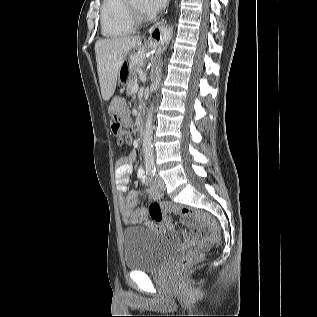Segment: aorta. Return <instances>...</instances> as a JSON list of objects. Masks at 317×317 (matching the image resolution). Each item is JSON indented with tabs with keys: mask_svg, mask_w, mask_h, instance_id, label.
<instances>
[{
	"mask_svg": "<svg viewBox=\"0 0 317 317\" xmlns=\"http://www.w3.org/2000/svg\"><path fill=\"white\" fill-rule=\"evenodd\" d=\"M161 72L160 75L158 73V77L153 84V88L155 90L158 89L160 81H161ZM153 104L150 105L148 110L147 119L145 123V130L143 134V154L146 166L153 167L154 166V154H153V144H152V134H153Z\"/></svg>",
	"mask_w": 317,
	"mask_h": 317,
	"instance_id": "aorta-1",
	"label": "aorta"
}]
</instances>
